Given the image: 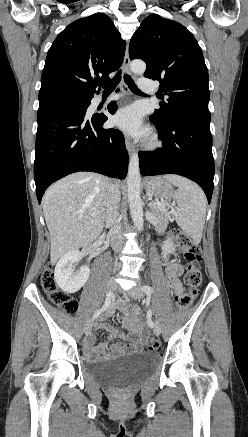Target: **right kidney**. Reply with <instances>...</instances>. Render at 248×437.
<instances>
[{
    "instance_id": "obj_1",
    "label": "right kidney",
    "mask_w": 248,
    "mask_h": 437,
    "mask_svg": "<svg viewBox=\"0 0 248 437\" xmlns=\"http://www.w3.org/2000/svg\"><path fill=\"white\" fill-rule=\"evenodd\" d=\"M81 259L79 250H72L66 253L58 261L54 278L57 285L66 293L73 294L78 292L87 282L90 275L89 265L80 267L74 271V263Z\"/></svg>"
}]
</instances>
